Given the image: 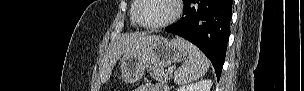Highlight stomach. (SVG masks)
I'll use <instances>...</instances> for the list:
<instances>
[{
  "mask_svg": "<svg viewBox=\"0 0 304 91\" xmlns=\"http://www.w3.org/2000/svg\"><path fill=\"white\" fill-rule=\"evenodd\" d=\"M186 55V49L177 39L153 36L143 48L123 54L120 59L121 77L126 83L136 82L146 67L163 69L183 61Z\"/></svg>",
  "mask_w": 304,
  "mask_h": 91,
  "instance_id": "1",
  "label": "stomach"
}]
</instances>
